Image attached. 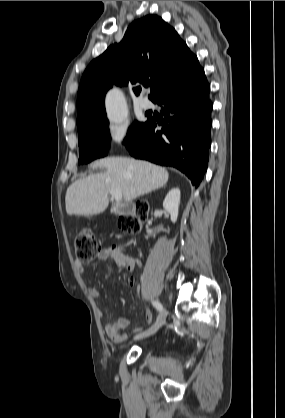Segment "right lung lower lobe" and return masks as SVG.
<instances>
[{"label":"right lung lower lobe","mask_w":285,"mask_h":418,"mask_svg":"<svg viewBox=\"0 0 285 418\" xmlns=\"http://www.w3.org/2000/svg\"><path fill=\"white\" fill-rule=\"evenodd\" d=\"M204 70L168 90L156 103L165 121L149 118L145 126L126 143L138 159L172 166L185 173L198 187L207 170L212 102ZM163 124L162 130L157 126Z\"/></svg>","instance_id":"obj_1"}]
</instances>
